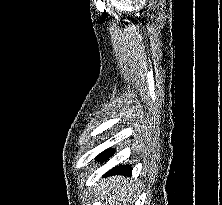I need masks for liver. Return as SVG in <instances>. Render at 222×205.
I'll return each mask as SVG.
<instances>
[{"label": "liver", "mask_w": 222, "mask_h": 205, "mask_svg": "<svg viewBox=\"0 0 222 205\" xmlns=\"http://www.w3.org/2000/svg\"><path fill=\"white\" fill-rule=\"evenodd\" d=\"M102 205H130L134 188L124 176H112L102 179L96 187Z\"/></svg>", "instance_id": "obj_1"}]
</instances>
